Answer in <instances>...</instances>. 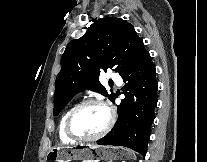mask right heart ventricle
Masks as SVG:
<instances>
[{
    "mask_svg": "<svg viewBox=\"0 0 207 162\" xmlns=\"http://www.w3.org/2000/svg\"><path fill=\"white\" fill-rule=\"evenodd\" d=\"M74 107L70 108L69 110H67L64 115L61 117L60 122H59V126H58V131H59V137L61 139V141L63 142H70L73 141L72 139H69L64 132V124H65V120L67 118V116L69 115V113L71 112V110Z\"/></svg>",
    "mask_w": 207,
    "mask_h": 162,
    "instance_id": "right-heart-ventricle-1",
    "label": "right heart ventricle"
}]
</instances>
